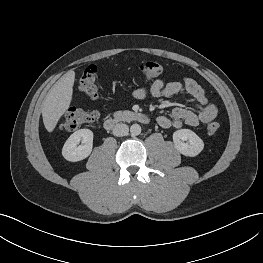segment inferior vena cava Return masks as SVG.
I'll list each match as a JSON object with an SVG mask.
<instances>
[{
    "instance_id": "obj_1",
    "label": "inferior vena cava",
    "mask_w": 263,
    "mask_h": 263,
    "mask_svg": "<svg viewBox=\"0 0 263 263\" xmlns=\"http://www.w3.org/2000/svg\"><path fill=\"white\" fill-rule=\"evenodd\" d=\"M112 132L114 136H118V137L126 136L129 132V128L126 124L119 123L114 126Z\"/></svg>"
}]
</instances>
